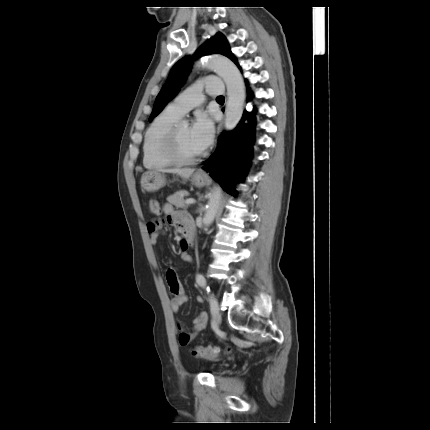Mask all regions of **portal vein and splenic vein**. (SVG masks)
I'll return each mask as SVG.
<instances>
[{
	"label": "portal vein and splenic vein",
	"mask_w": 430,
	"mask_h": 430,
	"mask_svg": "<svg viewBox=\"0 0 430 430\" xmlns=\"http://www.w3.org/2000/svg\"><path fill=\"white\" fill-rule=\"evenodd\" d=\"M185 203L186 204H194L195 200L193 198H188V199H186Z\"/></svg>",
	"instance_id": "portal-vein-and-splenic-vein-1"
}]
</instances>
